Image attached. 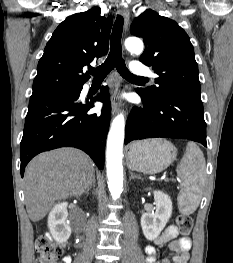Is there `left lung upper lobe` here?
I'll list each match as a JSON object with an SVG mask.
<instances>
[{
	"label": "left lung upper lobe",
	"mask_w": 233,
	"mask_h": 263,
	"mask_svg": "<svg viewBox=\"0 0 233 263\" xmlns=\"http://www.w3.org/2000/svg\"><path fill=\"white\" fill-rule=\"evenodd\" d=\"M131 33L142 37L145 50L140 61L152 66L158 86L140 89L151 100H160L171 92L200 94L198 65L186 32L173 20L146 10L131 25Z\"/></svg>",
	"instance_id": "left-lung-upper-lobe-1"
}]
</instances>
